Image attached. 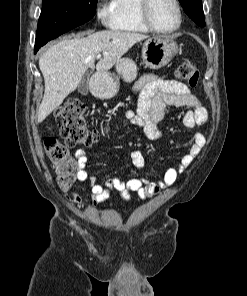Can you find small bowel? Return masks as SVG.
I'll list each match as a JSON object with an SVG mask.
<instances>
[{
  "label": "small bowel",
  "instance_id": "obj_1",
  "mask_svg": "<svg viewBox=\"0 0 247 296\" xmlns=\"http://www.w3.org/2000/svg\"><path fill=\"white\" fill-rule=\"evenodd\" d=\"M133 91L137 95V102L134 109L125 113L126 121L130 127L142 129L146 137L152 141L161 138L158 123L164 118L165 109L168 106L187 108L182 115V123L188 129L201 126L208 119L207 110L200 98L180 81L147 74L136 82ZM205 144L206 137L200 132H195L192 135L188 152L180 158L176 166L167 169L160 179L135 177L125 181L119 176H112L105 179L103 183H100L96 177L89 175L86 170L88 155L84 150H77L75 153L79 161L77 180L90 184L94 207L104 203L113 190L117 191L125 201L131 200L132 193L145 200L175 184ZM131 159L134 167L138 170L146 162L144 154L140 150L132 151ZM67 199L73 204H79L81 195L78 191L71 190Z\"/></svg>",
  "mask_w": 247,
  "mask_h": 296
}]
</instances>
